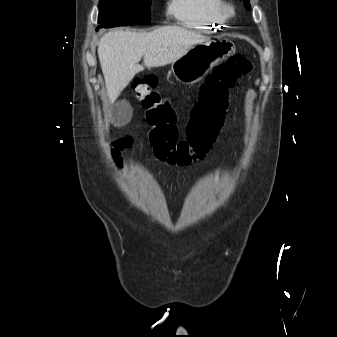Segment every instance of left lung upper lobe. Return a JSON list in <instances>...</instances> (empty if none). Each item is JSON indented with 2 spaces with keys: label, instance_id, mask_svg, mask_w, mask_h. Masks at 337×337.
<instances>
[{
  "label": "left lung upper lobe",
  "instance_id": "5c2ea615",
  "mask_svg": "<svg viewBox=\"0 0 337 337\" xmlns=\"http://www.w3.org/2000/svg\"><path fill=\"white\" fill-rule=\"evenodd\" d=\"M244 1V5L246 7L247 10H250V3L248 0H243Z\"/></svg>",
  "mask_w": 337,
  "mask_h": 337
}]
</instances>
